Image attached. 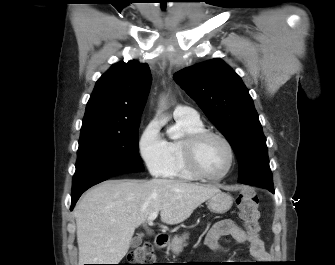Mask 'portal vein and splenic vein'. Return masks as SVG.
Segmentation results:
<instances>
[{"label":"portal vein and splenic vein","mask_w":335,"mask_h":265,"mask_svg":"<svg viewBox=\"0 0 335 265\" xmlns=\"http://www.w3.org/2000/svg\"><path fill=\"white\" fill-rule=\"evenodd\" d=\"M157 216H158V211L151 213L149 217L147 218L148 224L152 225L153 221L157 218Z\"/></svg>","instance_id":"18ae733b"}]
</instances>
